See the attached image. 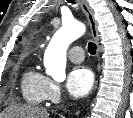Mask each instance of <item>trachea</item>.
Instances as JSON below:
<instances>
[{"instance_id":"1","label":"trachea","mask_w":133,"mask_h":118,"mask_svg":"<svg viewBox=\"0 0 133 118\" xmlns=\"http://www.w3.org/2000/svg\"><path fill=\"white\" fill-rule=\"evenodd\" d=\"M69 3H74V0H68ZM96 49H97V46L95 43L93 42H89L88 44V52L91 54V55H94L96 53Z\"/></svg>"}]
</instances>
